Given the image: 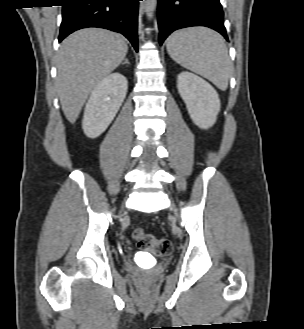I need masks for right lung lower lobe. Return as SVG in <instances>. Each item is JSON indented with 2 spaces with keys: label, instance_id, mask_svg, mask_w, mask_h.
Instances as JSON below:
<instances>
[{
  "label": "right lung lower lobe",
  "instance_id": "right-lung-lower-lobe-1",
  "mask_svg": "<svg viewBox=\"0 0 304 329\" xmlns=\"http://www.w3.org/2000/svg\"><path fill=\"white\" fill-rule=\"evenodd\" d=\"M59 42L72 32L99 27L123 34L138 51V2L141 0H64Z\"/></svg>",
  "mask_w": 304,
  "mask_h": 329
}]
</instances>
